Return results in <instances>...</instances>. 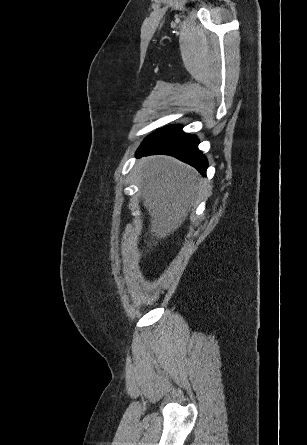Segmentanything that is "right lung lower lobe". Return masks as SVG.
<instances>
[{
    "label": "right lung lower lobe",
    "instance_id": "98d812e1",
    "mask_svg": "<svg viewBox=\"0 0 307 445\" xmlns=\"http://www.w3.org/2000/svg\"><path fill=\"white\" fill-rule=\"evenodd\" d=\"M181 125H170L158 129L148 136L136 152L142 157L154 154L174 156L195 167L203 176L208 167L206 157L198 149L199 140L194 135L184 133Z\"/></svg>",
    "mask_w": 307,
    "mask_h": 445
}]
</instances>
